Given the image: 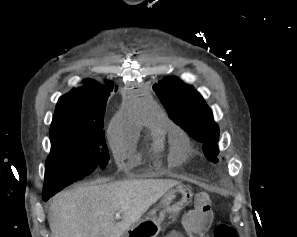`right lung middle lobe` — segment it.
Returning a JSON list of instances; mask_svg holds the SVG:
<instances>
[{"label": "right lung middle lobe", "instance_id": "obj_1", "mask_svg": "<svg viewBox=\"0 0 297 237\" xmlns=\"http://www.w3.org/2000/svg\"><path fill=\"white\" fill-rule=\"evenodd\" d=\"M43 194L54 195L109 159L103 124H63L50 129Z\"/></svg>", "mask_w": 297, "mask_h": 237}]
</instances>
